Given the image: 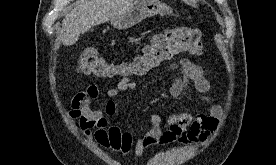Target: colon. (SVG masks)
<instances>
[{
	"instance_id": "obj_1",
	"label": "colon",
	"mask_w": 276,
	"mask_h": 165,
	"mask_svg": "<svg viewBox=\"0 0 276 165\" xmlns=\"http://www.w3.org/2000/svg\"><path fill=\"white\" fill-rule=\"evenodd\" d=\"M204 45L200 30L191 27L171 28L154 35L138 56L128 65L118 66L108 62L94 49L83 50L78 58V70L87 75L115 77L141 75L171 59L176 54L203 53Z\"/></svg>"
}]
</instances>
